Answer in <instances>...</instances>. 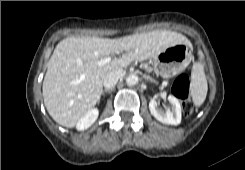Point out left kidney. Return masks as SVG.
I'll return each instance as SVG.
<instances>
[{
    "label": "left kidney",
    "mask_w": 245,
    "mask_h": 170,
    "mask_svg": "<svg viewBox=\"0 0 245 170\" xmlns=\"http://www.w3.org/2000/svg\"><path fill=\"white\" fill-rule=\"evenodd\" d=\"M168 100L171 103V109L162 110L158 107V104L154 98H150L149 109L151 114L160 122L170 125H178L181 123V105L179 100L170 95Z\"/></svg>",
    "instance_id": "1"
}]
</instances>
